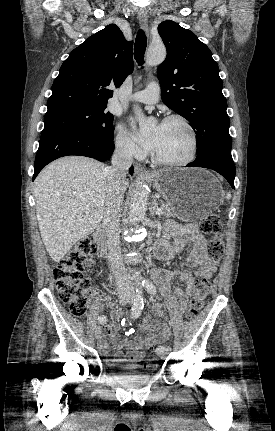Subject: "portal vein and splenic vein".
Returning <instances> with one entry per match:
<instances>
[{"mask_svg": "<svg viewBox=\"0 0 275 431\" xmlns=\"http://www.w3.org/2000/svg\"><path fill=\"white\" fill-rule=\"evenodd\" d=\"M156 214H157V215H161V214H162V209H161V208L157 209V210H156Z\"/></svg>", "mask_w": 275, "mask_h": 431, "instance_id": "18ae733b", "label": "portal vein and splenic vein"}]
</instances>
